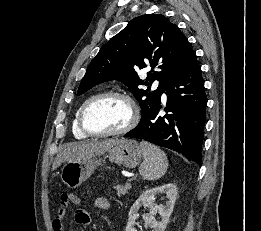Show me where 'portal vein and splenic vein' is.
I'll use <instances>...</instances> for the list:
<instances>
[{"mask_svg":"<svg viewBox=\"0 0 261 231\" xmlns=\"http://www.w3.org/2000/svg\"><path fill=\"white\" fill-rule=\"evenodd\" d=\"M126 185H130V183H128V182H127V184H126Z\"/></svg>","mask_w":261,"mask_h":231,"instance_id":"1","label":"portal vein and splenic vein"}]
</instances>
